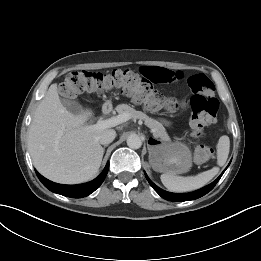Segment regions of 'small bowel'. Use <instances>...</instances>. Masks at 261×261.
Returning <instances> with one entry per match:
<instances>
[{"label":"small bowel","mask_w":261,"mask_h":261,"mask_svg":"<svg viewBox=\"0 0 261 261\" xmlns=\"http://www.w3.org/2000/svg\"><path fill=\"white\" fill-rule=\"evenodd\" d=\"M141 73L144 77L157 84H169L180 80L183 74L163 67H143Z\"/></svg>","instance_id":"small-bowel-1"}]
</instances>
